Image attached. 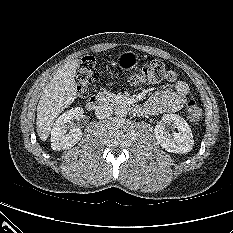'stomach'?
Returning <instances> with one entry per match:
<instances>
[{"instance_id": "1", "label": "stomach", "mask_w": 233, "mask_h": 233, "mask_svg": "<svg viewBox=\"0 0 233 233\" xmlns=\"http://www.w3.org/2000/svg\"><path fill=\"white\" fill-rule=\"evenodd\" d=\"M138 61H139L138 55L132 51L122 52L117 57V64L124 69L133 68L135 65H137Z\"/></svg>"}]
</instances>
